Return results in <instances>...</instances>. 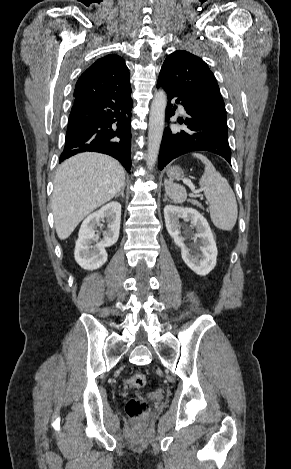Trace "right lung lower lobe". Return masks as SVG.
Listing matches in <instances>:
<instances>
[{"label":"right lung lower lobe","instance_id":"right-lung-lower-lobe-1","mask_svg":"<svg viewBox=\"0 0 291 469\" xmlns=\"http://www.w3.org/2000/svg\"><path fill=\"white\" fill-rule=\"evenodd\" d=\"M131 93L108 91L74 102L60 162L81 152H100L131 167Z\"/></svg>","mask_w":291,"mask_h":469}]
</instances>
